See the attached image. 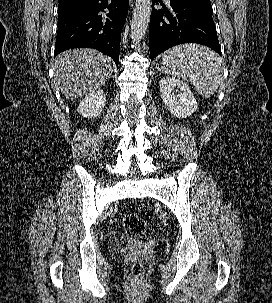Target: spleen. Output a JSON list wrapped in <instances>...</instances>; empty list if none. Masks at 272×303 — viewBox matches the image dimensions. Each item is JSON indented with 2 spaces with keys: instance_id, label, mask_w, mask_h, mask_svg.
Returning a JSON list of instances; mask_svg holds the SVG:
<instances>
[{
  "instance_id": "3e777b00",
  "label": "spleen",
  "mask_w": 272,
  "mask_h": 303,
  "mask_svg": "<svg viewBox=\"0 0 272 303\" xmlns=\"http://www.w3.org/2000/svg\"><path fill=\"white\" fill-rule=\"evenodd\" d=\"M161 64L164 73L190 82L207 99L214 95L222 79L221 59L207 47L198 44L178 45L165 51Z\"/></svg>"
}]
</instances>
